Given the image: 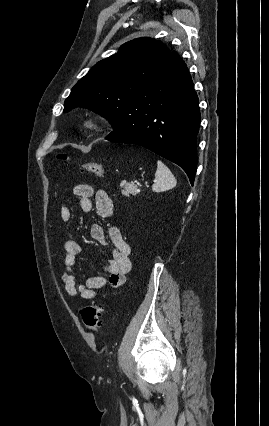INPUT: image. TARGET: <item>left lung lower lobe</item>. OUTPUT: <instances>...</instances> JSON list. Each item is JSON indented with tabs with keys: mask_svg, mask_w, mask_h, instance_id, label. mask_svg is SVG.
<instances>
[{
	"mask_svg": "<svg viewBox=\"0 0 269 426\" xmlns=\"http://www.w3.org/2000/svg\"><path fill=\"white\" fill-rule=\"evenodd\" d=\"M199 101L186 64L173 51L146 90L128 103L111 142L143 146L176 163L193 185L197 168Z\"/></svg>",
	"mask_w": 269,
	"mask_h": 426,
	"instance_id": "0a47b994",
	"label": "left lung lower lobe"
}]
</instances>
